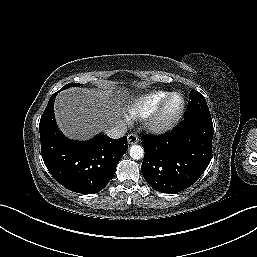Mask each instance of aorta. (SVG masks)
Returning <instances> with one entry per match:
<instances>
[{"mask_svg":"<svg viewBox=\"0 0 257 257\" xmlns=\"http://www.w3.org/2000/svg\"><path fill=\"white\" fill-rule=\"evenodd\" d=\"M144 156V149L140 145H132L130 147V157L139 160Z\"/></svg>","mask_w":257,"mask_h":257,"instance_id":"1","label":"aorta"}]
</instances>
